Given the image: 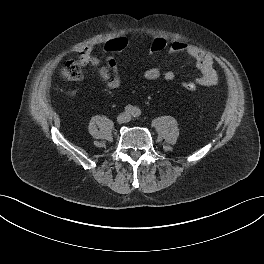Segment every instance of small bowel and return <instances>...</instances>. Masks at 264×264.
Returning a JSON list of instances; mask_svg holds the SVG:
<instances>
[{"label":"small bowel","mask_w":264,"mask_h":264,"mask_svg":"<svg viewBox=\"0 0 264 264\" xmlns=\"http://www.w3.org/2000/svg\"><path fill=\"white\" fill-rule=\"evenodd\" d=\"M169 54H185L195 61L196 68L201 73L195 81L200 86H212L217 83L218 76L214 68L212 58L205 52L183 41L175 40L168 46ZM78 60L82 66H93L98 70L100 79L109 89H117L122 83V75L116 60L105 52L106 63L93 54V46L87 45L77 50ZM143 76L147 80H157L163 78L172 81L175 73L171 70L162 71L160 68L153 67L144 71Z\"/></svg>","instance_id":"obj_1"}]
</instances>
